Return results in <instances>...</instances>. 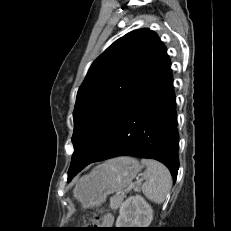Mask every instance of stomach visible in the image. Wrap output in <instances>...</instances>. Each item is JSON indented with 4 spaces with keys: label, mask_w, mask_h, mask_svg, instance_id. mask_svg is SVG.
Wrapping results in <instances>:
<instances>
[{
    "label": "stomach",
    "mask_w": 231,
    "mask_h": 231,
    "mask_svg": "<svg viewBox=\"0 0 231 231\" xmlns=\"http://www.w3.org/2000/svg\"><path fill=\"white\" fill-rule=\"evenodd\" d=\"M141 168L138 160L131 157L108 160L78 181L73 191L74 197L83 208L101 205L109 194L127 188Z\"/></svg>",
    "instance_id": "0dacf381"
}]
</instances>
